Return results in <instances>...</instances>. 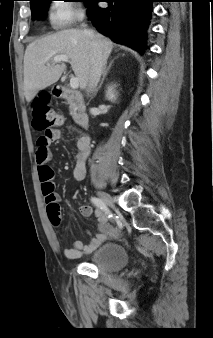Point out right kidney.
<instances>
[{
	"instance_id": "ca27d5eb",
	"label": "right kidney",
	"mask_w": 213,
	"mask_h": 338,
	"mask_svg": "<svg viewBox=\"0 0 213 338\" xmlns=\"http://www.w3.org/2000/svg\"><path fill=\"white\" fill-rule=\"evenodd\" d=\"M114 86H108L106 90V98L110 101H115L117 93H115Z\"/></svg>"
}]
</instances>
